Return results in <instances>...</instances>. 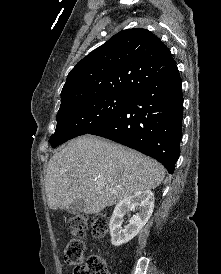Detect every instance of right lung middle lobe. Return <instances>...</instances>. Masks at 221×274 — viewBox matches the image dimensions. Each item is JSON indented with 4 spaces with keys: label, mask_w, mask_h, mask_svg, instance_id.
<instances>
[{
    "label": "right lung middle lobe",
    "mask_w": 221,
    "mask_h": 274,
    "mask_svg": "<svg viewBox=\"0 0 221 274\" xmlns=\"http://www.w3.org/2000/svg\"><path fill=\"white\" fill-rule=\"evenodd\" d=\"M131 97L122 94L101 95L61 103L56 130L50 138L52 147L89 134L104 125Z\"/></svg>",
    "instance_id": "right-lung-middle-lobe-1"
}]
</instances>
